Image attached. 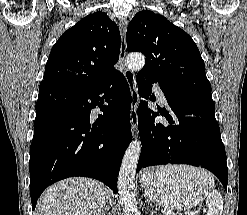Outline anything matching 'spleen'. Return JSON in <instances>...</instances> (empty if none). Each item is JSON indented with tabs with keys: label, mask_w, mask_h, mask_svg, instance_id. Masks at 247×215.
<instances>
[{
	"label": "spleen",
	"mask_w": 247,
	"mask_h": 215,
	"mask_svg": "<svg viewBox=\"0 0 247 215\" xmlns=\"http://www.w3.org/2000/svg\"><path fill=\"white\" fill-rule=\"evenodd\" d=\"M208 207L207 215H222L223 214V198L220 192L212 190L206 199Z\"/></svg>",
	"instance_id": "spleen-1"
}]
</instances>
